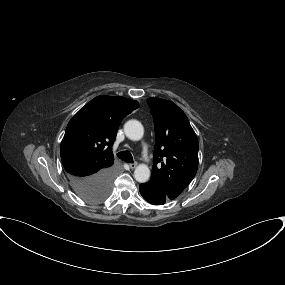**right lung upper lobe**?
<instances>
[{"instance_id":"cb5924a9","label":"right lung upper lobe","mask_w":285,"mask_h":285,"mask_svg":"<svg viewBox=\"0 0 285 285\" xmlns=\"http://www.w3.org/2000/svg\"><path fill=\"white\" fill-rule=\"evenodd\" d=\"M138 107V101L106 95L82 107L69 121L60 146L66 172L113 165L112 146L119 124Z\"/></svg>"}]
</instances>
